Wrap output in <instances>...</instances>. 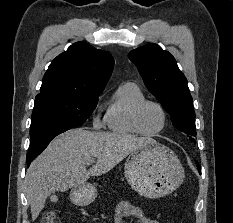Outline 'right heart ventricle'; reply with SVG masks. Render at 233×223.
Listing matches in <instances>:
<instances>
[{
  "label": "right heart ventricle",
  "instance_id": "e07e8e85",
  "mask_svg": "<svg viewBox=\"0 0 233 223\" xmlns=\"http://www.w3.org/2000/svg\"><path fill=\"white\" fill-rule=\"evenodd\" d=\"M144 99L145 95L137 83L130 81L121 84L105 110L107 129L119 135H139L132 124V113L135 106Z\"/></svg>",
  "mask_w": 233,
  "mask_h": 223
}]
</instances>
